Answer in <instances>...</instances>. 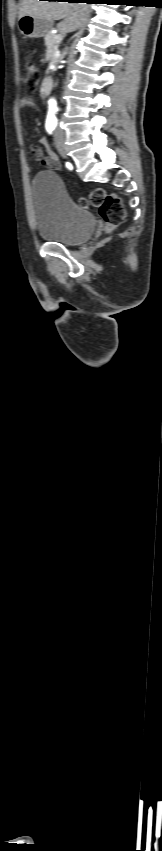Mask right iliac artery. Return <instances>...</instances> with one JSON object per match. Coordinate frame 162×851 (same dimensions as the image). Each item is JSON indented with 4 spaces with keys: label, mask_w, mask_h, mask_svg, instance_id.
Listing matches in <instances>:
<instances>
[{
    "label": "right iliac artery",
    "mask_w": 162,
    "mask_h": 851,
    "mask_svg": "<svg viewBox=\"0 0 162 851\" xmlns=\"http://www.w3.org/2000/svg\"><path fill=\"white\" fill-rule=\"evenodd\" d=\"M54 129H55L54 124H50V123L46 124V130L49 134H51Z\"/></svg>",
    "instance_id": "right-iliac-artery-1"
}]
</instances>
